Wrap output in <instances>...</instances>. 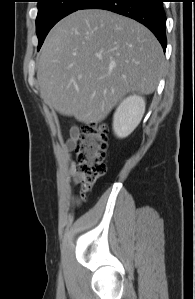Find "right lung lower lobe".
<instances>
[{
    "instance_id": "98d812e1",
    "label": "right lung lower lobe",
    "mask_w": 195,
    "mask_h": 299,
    "mask_svg": "<svg viewBox=\"0 0 195 299\" xmlns=\"http://www.w3.org/2000/svg\"><path fill=\"white\" fill-rule=\"evenodd\" d=\"M163 0H88L80 9H104L132 18L150 29L166 49Z\"/></svg>"
}]
</instances>
